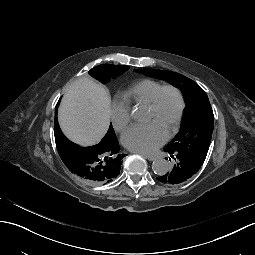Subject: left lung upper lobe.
Masks as SVG:
<instances>
[{
  "label": "left lung upper lobe",
  "instance_id": "obj_1",
  "mask_svg": "<svg viewBox=\"0 0 255 255\" xmlns=\"http://www.w3.org/2000/svg\"><path fill=\"white\" fill-rule=\"evenodd\" d=\"M134 71L162 79L179 88L183 93L187 104L184 122L180 132L168 143V147L172 151L181 152L188 160L193 161L194 166L199 170L210 146L214 123V115L207 94L193 80L176 72L155 69H135Z\"/></svg>",
  "mask_w": 255,
  "mask_h": 255
}]
</instances>
